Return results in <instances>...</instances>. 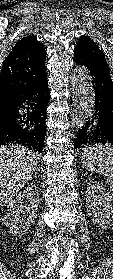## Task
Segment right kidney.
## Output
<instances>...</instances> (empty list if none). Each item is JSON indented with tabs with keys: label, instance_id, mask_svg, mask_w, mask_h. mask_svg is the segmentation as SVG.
<instances>
[{
	"label": "right kidney",
	"instance_id": "1",
	"mask_svg": "<svg viewBox=\"0 0 113 279\" xmlns=\"http://www.w3.org/2000/svg\"><path fill=\"white\" fill-rule=\"evenodd\" d=\"M38 203L39 192L36 187H27L16 195L4 217L10 234L22 236L27 233L37 217Z\"/></svg>",
	"mask_w": 113,
	"mask_h": 279
}]
</instances>
